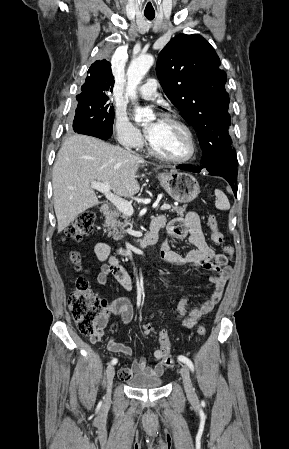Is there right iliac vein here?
Instances as JSON below:
<instances>
[{"label": "right iliac vein", "instance_id": "1", "mask_svg": "<svg viewBox=\"0 0 289 449\" xmlns=\"http://www.w3.org/2000/svg\"><path fill=\"white\" fill-rule=\"evenodd\" d=\"M114 375H115V368L113 365H109L106 369V386H107L106 399L107 400H109V398H110Z\"/></svg>", "mask_w": 289, "mask_h": 449}]
</instances>
